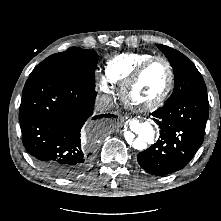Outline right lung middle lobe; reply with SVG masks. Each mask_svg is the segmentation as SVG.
I'll return each mask as SVG.
<instances>
[{
	"label": "right lung middle lobe",
	"instance_id": "dd1d6c3e",
	"mask_svg": "<svg viewBox=\"0 0 221 221\" xmlns=\"http://www.w3.org/2000/svg\"><path fill=\"white\" fill-rule=\"evenodd\" d=\"M97 62L98 55L94 50L71 47L46 58L31 74L46 70L74 83L95 88Z\"/></svg>",
	"mask_w": 221,
	"mask_h": 221
}]
</instances>
